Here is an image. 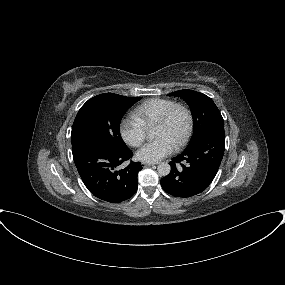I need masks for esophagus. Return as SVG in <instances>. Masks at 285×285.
<instances>
[{
	"mask_svg": "<svg viewBox=\"0 0 285 285\" xmlns=\"http://www.w3.org/2000/svg\"><path fill=\"white\" fill-rule=\"evenodd\" d=\"M153 165L152 163H146V162H142V166L145 168V167H149Z\"/></svg>",
	"mask_w": 285,
	"mask_h": 285,
	"instance_id": "1",
	"label": "esophagus"
}]
</instances>
